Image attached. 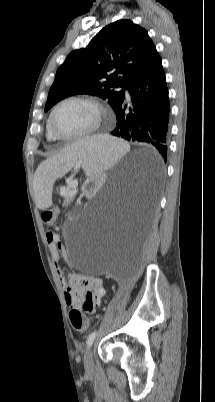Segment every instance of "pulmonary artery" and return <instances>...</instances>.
I'll return each mask as SVG.
<instances>
[{"instance_id": "e3ab8cb5", "label": "pulmonary artery", "mask_w": 215, "mask_h": 402, "mask_svg": "<svg viewBox=\"0 0 215 402\" xmlns=\"http://www.w3.org/2000/svg\"><path fill=\"white\" fill-rule=\"evenodd\" d=\"M126 96L129 97V92L128 90H125Z\"/></svg>"}]
</instances>
